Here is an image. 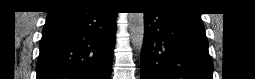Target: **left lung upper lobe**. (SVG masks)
Segmentation results:
<instances>
[{"instance_id": "1", "label": "left lung upper lobe", "mask_w": 255, "mask_h": 79, "mask_svg": "<svg viewBox=\"0 0 255 79\" xmlns=\"http://www.w3.org/2000/svg\"><path fill=\"white\" fill-rule=\"evenodd\" d=\"M163 2H165V3H174V1H172V0H166V1H163Z\"/></svg>"}]
</instances>
